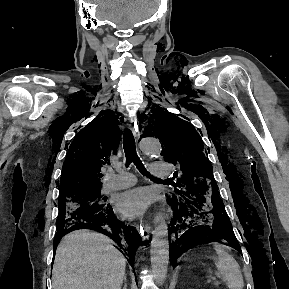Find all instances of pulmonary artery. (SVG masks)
Listing matches in <instances>:
<instances>
[{
	"label": "pulmonary artery",
	"mask_w": 289,
	"mask_h": 289,
	"mask_svg": "<svg viewBox=\"0 0 289 289\" xmlns=\"http://www.w3.org/2000/svg\"><path fill=\"white\" fill-rule=\"evenodd\" d=\"M171 165L165 161H154L151 166V174L154 177H169ZM136 179L133 174L125 171L109 174L105 182L106 190H118L134 185Z\"/></svg>",
	"instance_id": "obj_1"
}]
</instances>
